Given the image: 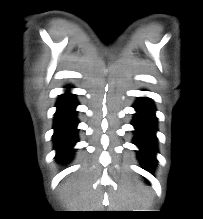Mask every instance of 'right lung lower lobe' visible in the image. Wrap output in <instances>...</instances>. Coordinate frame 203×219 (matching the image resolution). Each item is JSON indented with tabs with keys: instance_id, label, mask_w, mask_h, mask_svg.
<instances>
[{
	"instance_id": "right-lung-lower-lobe-1",
	"label": "right lung lower lobe",
	"mask_w": 203,
	"mask_h": 219,
	"mask_svg": "<svg viewBox=\"0 0 203 219\" xmlns=\"http://www.w3.org/2000/svg\"><path fill=\"white\" fill-rule=\"evenodd\" d=\"M56 106L53 141L57 150L56 158L65 162L72 157L74 152L72 147L78 140L75 96L71 93L61 95Z\"/></svg>"
}]
</instances>
